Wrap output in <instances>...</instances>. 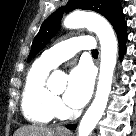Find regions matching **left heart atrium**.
Masks as SVG:
<instances>
[{
  "mask_svg": "<svg viewBox=\"0 0 136 136\" xmlns=\"http://www.w3.org/2000/svg\"><path fill=\"white\" fill-rule=\"evenodd\" d=\"M94 86L92 68L81 63L70 73L68 87L64 94L66 104L72 108L83 107L91 97Z\"/></svg>",
  "mask_w": 136,
  "mask_h": 136,
  "instance_id": "obj_1",
  "label": "left heart atrium"
}]
</instances>
